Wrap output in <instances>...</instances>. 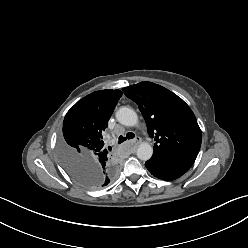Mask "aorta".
I'll list each match as a JSON object with an SVG mask.
<instances>
[{"label": "aorta", "mask_w": 248, "mask_h": 248, "mask_svg": "<svg viewBox=\"0 0 248 248\" xmlns=\"http://www.w3.org/2000/svg\"><path fill=\"white\" fill-rule=\"evenodd\" d=\"M116 119L125 126H135L138 123L137 113L128 107H121L116 112ZM153 154V148L148 143H141L137 149V157L140 160L147 161Z\"/></svg>", "instance_id": "1"}]
</instances>
